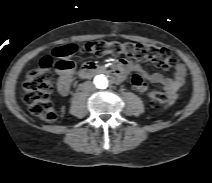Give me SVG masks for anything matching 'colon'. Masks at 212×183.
I'll list each match as a JSON object with an SVG mask.
<instances>
[{
  "instance_id": "1",
  "label": "colon",
  "mask_w": 212,
  "mask_h": 183,
  "mask_svg": "<svg viewBox=\"0 0 212 183\" xmlns=\"http://www.w3.org/2000/svg\"><path fill=\"white\" fill-rule=\"evenodd\" d=\"M79 51L95 56L112 54L122 55L128 59L148 60L164 70L176 68L178 65L176 57L166 48L132 42L91 41L81 47L76 44L56 47L53 55L61 59L57 63V68L67 74H73L75 67L70 58ZM52 65L53 59L50 56L43 57L39 65L27 73L23 83L24 101L30 112L46 122H53L57 117L50 100L53 91ZM148 97L154 107L168 102L167 94L160 91H151Z\"/></svg>"
}]
</instances>
